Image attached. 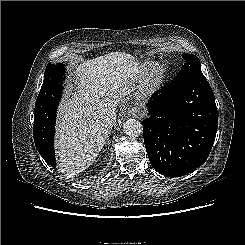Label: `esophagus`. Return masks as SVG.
<instances>
[{
    "mask_svg": "<svg viewBox=\"0 0 245 245\" xmlns=\"http://www.w3.org/2000/svg\"><path fill=\"white\" fill-rule=\"evenodd\" d=\"M125 115L139 118L141 116V112L137 108H132L128 112H126Z\"/></svg>",
    "mask_w": 245,
    "mask_h": 245,
    "instance_id": "esophagus-1",
    "label": "esophagus"
}]
</instances>
